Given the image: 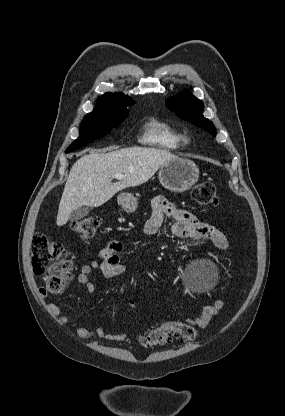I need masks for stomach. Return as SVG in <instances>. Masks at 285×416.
Returning <instances> with one entry per match:
<instances>
[{"label":"stomach","instance_id":"stomach-1","mask_svg":"<svg viewBox=\"0 0 285 416\" xmlns=\"http://www.w3.org/2000/svg\"><path fill=\"white\" fill-rule=\"evenodd\" d=\"M160 184L170 192H185L192 188L199 180V168L186 158L170 160L160 168ZM119 204L125 212H135L138 202L131 194H121Z\"/></svg>","mask_w":285,"mask_h":416}]
</instances>
